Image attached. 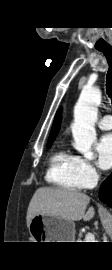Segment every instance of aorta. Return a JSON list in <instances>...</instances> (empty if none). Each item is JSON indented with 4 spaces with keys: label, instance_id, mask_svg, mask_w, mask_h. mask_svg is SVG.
<instances>
[{
    "label": "aorta",
    "instance_id": "762f6f07",
    "mask_svg": "<svg viewBox=\"0 0 112 270\" xmlns=\"http://www.w3.org/2000/svg\"><path fill=\"white\" fill-rule=\"evenodd\" d=\"M101 91L98 87L84 89L74 108L72 135L74 148L87 159H93L91 146L96 140L95 122L97 121L98 105Z\"/></svg>",
    "mask_w": 112,
    "mask_h": 270
}]
</instances>
